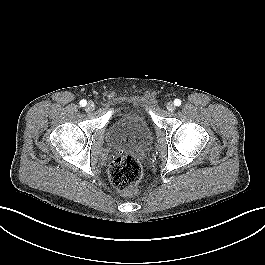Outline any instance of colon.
I'll list each match as a JSON object with an SVG mask.
<instances>
[{"mask_svg": "<svg viewBox=\"0 0 265 265\" xmlns=\"http://www.w3.org/2000/svg\"><path fill=\"white\" fill-rule=\"evenodd\" d=\"M142 174L141 164L131 155L116 157L109 167L112 185L125 196H132L138 192Z\"/></svg>", "mask_w": 265, "mask_h": 265, "instance_id": "5ec220e1", "label": "colon"}]
</instances>
